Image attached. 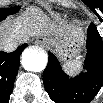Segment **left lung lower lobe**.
<instances>
[{
    "label": "left lung lower lobe",
    "mask_w": 103,
    "mask_h": 103,
    "mask_svg": "<svg viewBox=\"0 0 103 103\" xmlns=\"http://www.w3.org/2000/svg\"><path fill=\"white\" fill-rule=\"evenodd\" d=\"M86 72L69 78L56 57L49 53V62L43 73L44 87L57 103H89L103 84V43L97 28L91 24L87 32Z\"/></svg>",
    "instance_id": "1"
}]
</instances>
